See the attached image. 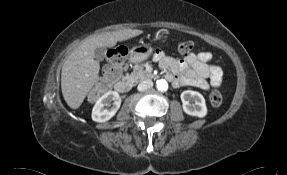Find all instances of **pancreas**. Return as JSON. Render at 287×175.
I'll use <instances>...</instances> for the list:
<instances>
[{"instance_id":"cf45deb5","label":"pancreas","mask_w":287,"mask_h":175,"mask_svg":"<svg viewBox=\"0 0 287 175\" xmlns=\"http://www.w3.org/2000/svg\"><path fill=\"white\" fill-rule=\"evenodd\" d=\"M149 76L150 74L147 71H145L142 66H136L133 72L127 77L133 81H139V80L146 79Z\"/></svg>"}]
</instances>
